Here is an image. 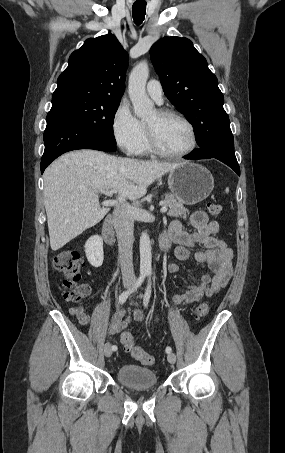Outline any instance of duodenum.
I'll return each mask as SVG.
<instances>
[{
	"mask_svg": "<svg viewBox=\"0 0 285 453\" xmlns=\"http://www.w3.org/2000/svg\"><path fill=\"white\" fill-rule=\"evenodd\" d=\"M102 237L107 244H109L111 246H115L116 240H115V236H114L113 220H112L111 216H107L105 218V221H104V224L102 227ZM159 244H160V249L163 252H166L170 247V243L164 238H160Z\"/></svg>",
	"mask_w": 285,
	"mask_h": 453,
	"instance_id": "1",
	"label": "duodenum"
}]
</instances>
